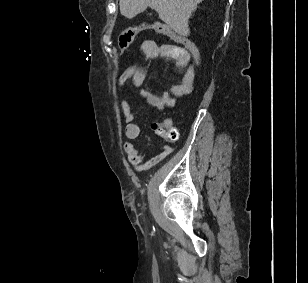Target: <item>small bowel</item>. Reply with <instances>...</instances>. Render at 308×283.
I'll return each mask as SVG.
<instances>
[{
    "instance_id": "obj_1",
    "label": "small bowel",
    "mask_w": 308,
    "mask_h": 283,
    "mask_svg": "<svg viewBox=\"0 0 308 283\" xmlns=\"http://www.w3.org/2000/svg\"><path fill=\"white\" fill-rule=\"evenodd\" d=\"M141 52L146 57H164L175 62L176 66L181 70V79L178 83L172 84L168 91L161 95H156L150 91L141 89L139 94L149 105L157 109L172 107L176 103V98L187 95L192 92L195 79V70L191 65V56L183 48L169 45L159 44L155 41L147 40L141 44ZM146 77V71L141 67H129L119 77V85L126 90L127 84L132 83L135 87H141ZM123 119L126 123L125 136L127 141L124 143V151L128 161L137 171H145L173 152L170 143L166 144L162 151L157 155L147 159L145 158L134 141L141 135V126L135 121L131 103L124 99L120 102ZM171 141V140H170Z\"/></svg>"
}]
</instances>
